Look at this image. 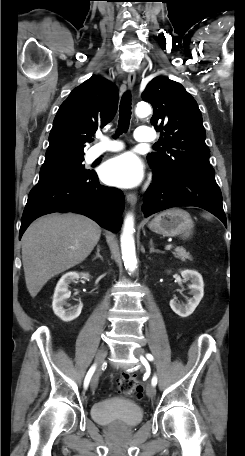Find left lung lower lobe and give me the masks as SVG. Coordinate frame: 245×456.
<instances>
[{"label": "left lung lower lobe", "mask_w": 245, "mask_h": 456, "mask_svg": "<svg viewBox=\"0 0 245 456\" xmlns=\"http://www.w3.org/2000/svg\"><path fill=\"white\" fill-rule=\"evenodd\" d=\"M153 178L143 198L145 216L171 207L196 206L211 212L226 225L222 195L215 178L155 170Z\"/></svg>", "instance_id": "1"}]
</instances>
